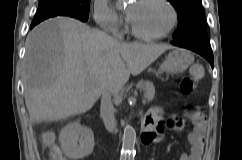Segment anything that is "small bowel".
I'll return each instance as SVG.
<instances>
[{"label": "small bowel", "instance_id": "1", "mask_svg": "<svg viewBox=\"0 0 242 160\" xmlns=\"http://www.w3.org/2000/svg\"><path fill=\"white\" fill-rule=\"evenodd\" d=\"M194 123V130L189 134L188 140L191 145L189 154H183L179 160H201L204 148V128L205 121L199 114H190ZM156 121L153 115H147L143 118V127L141 141L144 144H157L162 141V133L165 129L173 132H180L184 127V120L177 116L170 117L165 124L162 125V129L155 127ZM49 135H52L49 133ZM63 160H67L63 158Z\"/></svg>", "mask_w": 242, "mask_h": 160}]
</instances>
